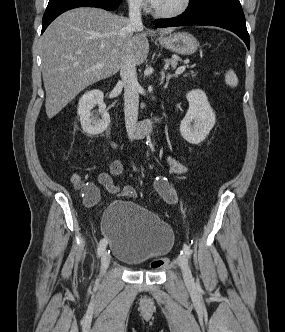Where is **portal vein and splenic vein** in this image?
<instances>
[{
	"instance_id": "1",
	"label": "portal vein and splenic vein",
	"mask_w": 285,
	"mask_h": 332,
	"mask_svg": "<svg viewBox=\"0 0 285 332\" xmlns=\"http://www.w3.org/2000/svg\"><path fill=\"white\" fill-rule=\"evenodd\" d=\"M103 66H104V64H102V63L96 64V68H102ZM185 69H186V66H180L177 68L175 74L176 75L181 74L185 71Z\"/></svg>"
}]
</instances>
